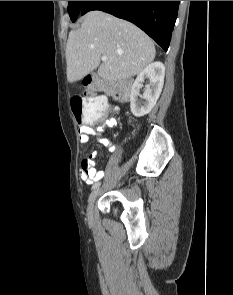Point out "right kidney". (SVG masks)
Returning a JSON list of instances; mask_svg holds the SVG:
<instances>
[{
    "label": "right kidney",
    "instance_id": "obj_1",
    "mask_svg": "<svg viewBox=\"0 0 233 295\" xmlns=\"http://www.w3.org/2000/svg\"><path fill=\"white\" fill-rule=\"evenodd\" d=\"M165 66L161 62H153L144 68L137 76L131 87L130 108L136 117L148 114L156 104L164 84ZM148 79L150 82L145 86L142 98L143 102L138 101L140 89L143 82Z\"/></svg>",
    "mask_w": 233,
    "mask_h": 295
}]
</instances>
